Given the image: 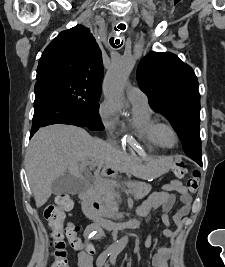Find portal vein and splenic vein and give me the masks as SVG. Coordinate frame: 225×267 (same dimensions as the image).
Masks as SVG:
<instances>
[{
	"label": "portal vein and splenic vein",
	"mask_w": 225,
	"mask_h": 267,
	"mask_svg": "<svg viewBox=\"0 0 225 267\" xmlns=\"http://www.w3.org/2000/svg\"><path fill=\"white\" fill-rule=\"evenodd\" d=\"M86 165H87V163L82 162V163H81V169H84V168L86 167ZM98 167H100V166L98 165Z\"/></svg>",
	"instance_id": "portal-vein-and-splenic-vein-1"
}]
</instances>
